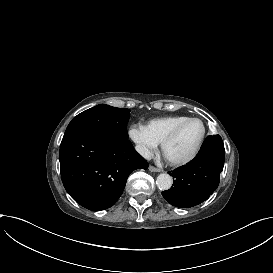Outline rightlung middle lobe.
<instances>
[{
    "mask_svg": "<svg viewBox=\"0 0 273 273\" xmlns=\"http://www.w3.org/2000/svg\"><path fill=\"white\" fill-rule=\"evenodd\" d=\"M129 113V109L97 105L74 117L64 137L75 133H92L102 137L128 139Z\"/></svg>",
    "mask_w": 273,
    "mask_h": 273,
    "instance_id": "obj_1",
    "label": "right lung middle lobe"
}]
</instances>
